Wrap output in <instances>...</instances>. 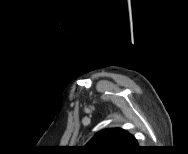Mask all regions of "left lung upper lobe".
Here are the masks:
<instances>
[{"label": "left lung upper lobe", "mask_w": 188, "mask_h": 154, "mask_svg": "<svg viewBox=\"0 0 188 154\" xmlns=\"http://www.w3.org/2000/svg\"><path fill=\"white\" fill-rule=\"evenodd\" d=\"M135 138L120 128L102 130L87 143L86 147L93 151H124L133 145Z\"/></svg>", "instance_id": "5c2ea615"}]
</instances>
